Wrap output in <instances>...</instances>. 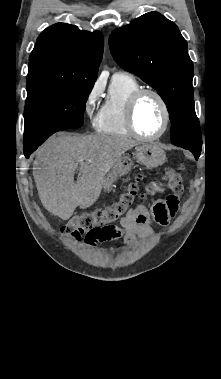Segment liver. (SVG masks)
<instances>
[{"label":"liver","mask_w":221,"mask_h":379,"mask_svg":"<svg viewBox=\"0 0 221 379\" xmlns=\"http://www.w3.org/2000/svg\"><path fill=\"white\" fill-rule=\"evenodd\" d=\"M137 144L126 137L104 134L50 137L36 151L33 162L42 205L63 220H68L78 206H92L100 196L105 175Z\"/></svg>","instance_id":"1"}]
</instances>
